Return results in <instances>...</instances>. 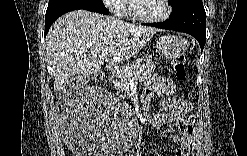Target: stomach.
I'll list each match as a JSON object with an SVG mask.
<instances>
[{"mask_svg": "<svg viewBox=\"0 0 247 156\" xmlns=\"http://www.w3.org/2000/svg\"><path fill=\"white\" fill-rule=\"evenodd\" d=\"M157 49L162 58H176L187 49V40L179 35L162 36L157 41Z\"/></svg>", "mask_w": 247, "mask_h": 156, "instance_id": "stomach-1", "label": "stomach"}]
</instances>
